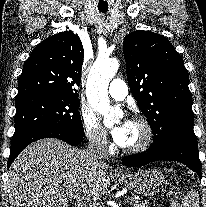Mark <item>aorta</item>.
<instances>
[{
	"mask_svg": "<svg viewBox=\"0 0 206 207\" xmlns=\"http://www.w3.org/2000/svg\"><path fill=\"white\" fill-rule=\"evenodd\" d=\"M119 68L116 58H98L88 76L86 95L91 108L104 117L107 124L115 118L108 97V84Z\"/></svg>",
	"mask_w": 206,
	"mask_h": 207,
	"instance_id": "obj_1",
	"label": "aorta"
}]
</instances>
